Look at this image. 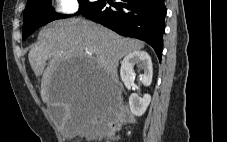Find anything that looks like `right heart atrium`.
Here are the masks:
<instances>
[{"label": "right heart atrium", "mask_w": 227, "mask_h": 142, "mask_svg": "<svg viewBox=\"0 0 227 142\" xmlns=\"http://www.w3.org/2000/svg\"><path fill=\"white\" fill-rule=\"evenodd\" d=\"M78 0H54V13L60 17H69L79 10Z\"/></svg>", "instance_id": "1"}]
</instances>
